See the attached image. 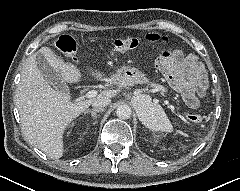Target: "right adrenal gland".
I'll use <instances>...</instances> for the list:
<instances>
[{"instance_id":"right-adrenal-gland-1","label":"right adrenal gland","mask_w":240,"mask_h":191,"mask_svg":"<svg viewBox=\"0 0 240 191\" xmlns=\"http://www.w3.org/2000/svg\"><path fill=\"white\" fill-rule=\"evenodd\" d=\"M101 111H103V110L92 109V110H87L85 113H90L93 119H97V113H99Z\"/></svg>"}]
</instances>
